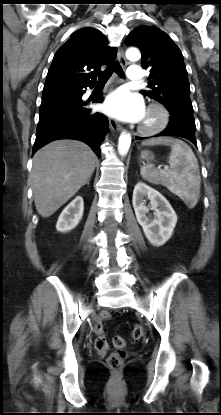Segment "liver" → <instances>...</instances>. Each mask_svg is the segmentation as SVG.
Returning <instances> with one entry per match:
<instances>
[{
    "label": "liver",
    "instance_id": "obj_1",
    "mask_svg": "<svg viewBox=\"0 0 221 415\" xmlns=\"http://www.w3.org/2000/svg\"><path fill=\"white\" fill-rule=\"evenodd\" d=\"M96 155L76 140L53 141L33 157L32 190L37 212L49 217L84 186L95 169Z\"/></svg>",
    "mask_w": 221,
    "mask_h": 415
}]
</instances>
